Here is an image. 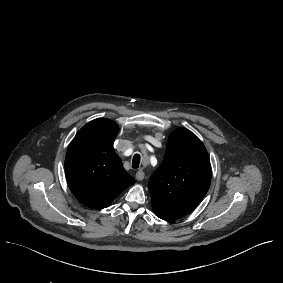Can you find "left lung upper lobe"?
I'll list each match as a JSON object with an SVG mask.
<instances>
[{"mask_svg":"<svg viewBox=\"0 0 283 283\" xmlns=\"http://www.w3.org/2000/svg\"><path fill=\"white\" fill-rule=\"evenodd\" d=\"M210 182L211 165L203 143L191 131L177 128L149 180L152 208L187 214L203 199Z\"/></svg>","mask_w":283,"mask_h":283,"instance_id":"5c2ea615","label":"left lung upper lobe"}]
</instances>
